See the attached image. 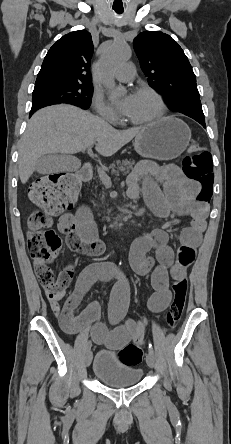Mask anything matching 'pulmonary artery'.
Listing matches in <instances>:
<instances>
[{"label":"pulmonary artery","instance_id":"obj_1","mask_svg":"<svg viewBox=\"0 0 231 444\" xmlns=\"http://www.w3.org/2000/svg\"><path fill=\"white\" fill-rule=\"evenodd\" d=\"M136 75L135 67L132 63H124L115 72V77L120 82H129L134 79Z\"/></svg>","mask_w":231,"mask_h":444}]
</instances>
